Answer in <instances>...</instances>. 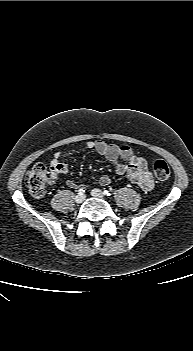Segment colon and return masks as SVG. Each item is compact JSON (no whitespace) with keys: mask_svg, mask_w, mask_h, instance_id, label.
<instances>
[{"mask_svg":"<svg viewBox=\"0 0 193 351\" xmlns=\"http://www.w3.org/2000/svg\"><path fill=\"white\" fill-rule=\"evenodd\" d=\"M153 172L159 181H166L170 178V168L163 160H156L153 163ZM48 168L45 164L38 163L26 176V186L30 194L41 199L46 194V183L48 180Z\"/></svg>","mask_w":193,"mask_h":351,"instance_id":"colon-1","label":"colon"}]
</instances>
